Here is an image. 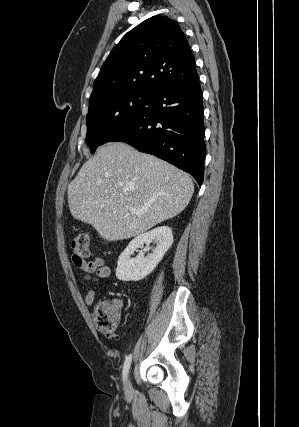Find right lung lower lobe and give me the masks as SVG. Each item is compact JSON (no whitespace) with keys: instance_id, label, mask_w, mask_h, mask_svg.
Here are the masks:
<instances>
[{"instance_id":"obj_1","label":"right lung lower lobe","mask_w":299,"mask_h":427,"mask_svg":"<svg viewBox=\"0 0 299 427\" xmlns=\"http://www.w3.org/2000/svg\"><path fill=\"white\" fill-rule=\"evenodd\" d=\"M202 91L196 77L169 84L154 93L147 111L111 142H125L191 174L204 177Z\"/></svg>"}]
</instances>
